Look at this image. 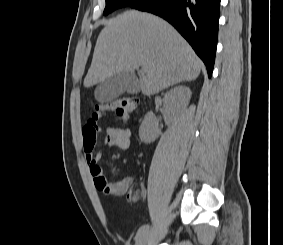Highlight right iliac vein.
<instances>
[{
    "mask_svg": "<svg viewBox=\"0 0 283 245\" xmlns=\"http://www.w3.org/2000/svg\"><path fill=\"white\" fill-rule=\"evenodd\" d=\"M153 232V229H149L147 230L145 233H143L138 240L136 241L135 245H146L147 241L149 240V238L151 237Z\"/></svg>",
    "mask_w": 283,
    "mask_h": 245,
    "instance_id": "right-iliac-vein-1",
    "label": "right iliac vein"
}]
</instances>
